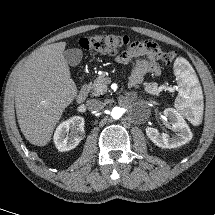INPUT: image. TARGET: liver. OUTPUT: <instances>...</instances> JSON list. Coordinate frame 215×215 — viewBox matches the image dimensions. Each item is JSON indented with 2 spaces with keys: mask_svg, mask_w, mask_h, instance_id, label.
I'll use <instances>...</instances> for the list:
<instances>
[{
  "mask_svg": "<svg viewBox=\"0 0 215 215\" xmlns=\"http://www.w3.org/2000/svg\"><path fill=\"white\" fill-rule=\"evenodd\" d=\"M66 43H53L34 51L14 74L16 114L21 132L34 145L51 140L67 106L77 96L63 52Z\"/></svg>",
  "mask_w": 215,
  "mask_h": 215,
  "instance_id": "6515ba94",
  "label": "liver"
}]
</instances>
